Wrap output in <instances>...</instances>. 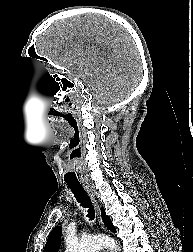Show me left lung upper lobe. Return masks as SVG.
Instances as JSON below:
<instances>
[{
  "label": "left lung upper lobe",
  "instance_id": "5c2ea615",
  "mask_svg": "<svg viewBox=\"0 0 193 252\" xmlns=\"http://www.w3.org/2000/svg\"><path fill=\"white\" fill-rule=\"evenodd\" d=\"M101 211L105 226L112 232H116L115 227L113 226L109 217L106 215L103 208H101ZM60 237H61V227L58 226L54 228L49 234L47 243L44 248V252H57L60 245Z\"/></svg>",
  "mask_w": 193,
  "mask_h": 252
}]
</instances>
